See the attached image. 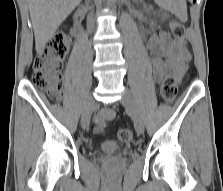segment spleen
<instances>
[{
  "label": "spleen",
  "instance_id": "1",
  "mask_svg": "<svg viewBox=\"0 0 223 191\" xmlns=\"http://www.w3.org/2000/svg\"><path fill=\"white\" fill-rule=\"evenodd\" d=\"M170 10L176 14L182 21L187 20V9L185 0H170Z\"/></svg>",
  "mask_w": 223,
  "mask_h": 191
}]
</instances>
